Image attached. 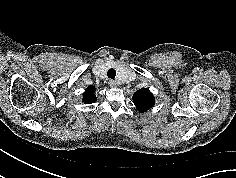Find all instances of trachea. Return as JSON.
<instances>
[{
  "instance_id": "1",
  "label": "trachea",
  "mask_w": 236,
  "mask_h": 178,
  "mask_svg": "<svg viewBox=\"0 0 236 178\" xmlns=\"http://www.w3.org/2000/svg\"><path fill=\"white\" fill-rule=\"evenodd\" d=\"M107 76L111 79H115V76H116V70L111 68L108 70L107 72Z\"/></svg>"
}]
</instances>
